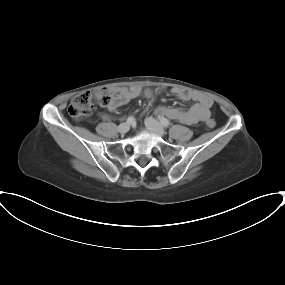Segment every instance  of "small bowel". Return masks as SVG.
<instances>
[{
    "label": "small bowel",
    "mask_w": 285,
    "mask_h": 285,
    "mask_svg": "<svg viewBox=\"0 0 285 285\" xmlns=\"http://www.w3.org/2000/svg\"><path fill=\"white\" fill-rule=\"evenodd\" d=\"M161 91V88H158L155 91L150 89L144 90L138 85L118 87L113 89L114 96L108 104V109L113 112L131 100L139 97H145L148 101L152 102L155 94L160 93ZM171 93L182 101L193 100L195 101V104L188 109L163 106L158 107L156 108L157 114L165 115L170 119L177 120L188 125L199 123L211 116L213 101L210 97L198 91H190L181 88H173L171 89ZM103 118H106V115H103Z\"/></svg>",
    "instance_id": "small-bowel-1"
}]
</instances>
